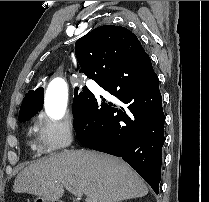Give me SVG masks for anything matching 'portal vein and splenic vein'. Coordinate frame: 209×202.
<instances>
[{
    "mask_svg": "<svg viewBox=\"0 0 209 202\" xmlns=\"http://www.w3.org/2000/svg\"><path fill=\"white\" fill-rule=\"evenodd\" d=\"M62 185L70 192L72 193L75 197L80 199L83 195V192L80 189H77L75 187H72L68 182L62 181Z\"/></svg>",
    "mask_w": 209,
    "mask_h": 202,
    "instance_id": "obj_1",
    "label": "portal vein and splenic vein"
}]
</instances>
